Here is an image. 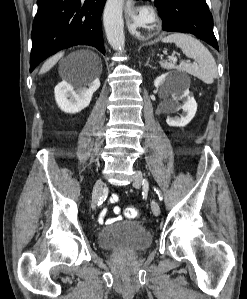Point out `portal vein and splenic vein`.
I'll use <instances>...</instances> for the list:
<instances>
[{
	"instance_id": "18ae733b",
	"label": "portal vein and splenic vein",
	"mask_w": 247,
	"mask_h": 299,
	"mask_svg": "<svg viewBox=\"0 0 247 299\" xmlns=\"http://www.w3.org/2000/svg\"><path fill=\"white\" fill-rule=\"evenodd\" d=\"M170 59L174 62L177 60L175 57H171Z\"/></svg>"
}]
</instances>
